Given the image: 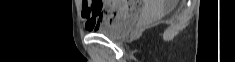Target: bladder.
Instances as JSON below:
<instances>
[{
  "label": "bladder",
  "mask_w": 235,
  "mask_h": 62,
  "mask_svg": "<svg viewBox=\"0 0 235 62\" xmlns=\"http://www.w3.org/2000/svg\"><path fill=\"white\" fill-rule=\"evenodd\" d=\"M136 20V15H130L116 23L101 25L95 32L110 39H118L129 33Z\"/></svg>",
  "instance_id": "obj_1"
}]
</instances>
